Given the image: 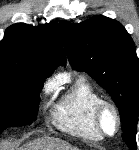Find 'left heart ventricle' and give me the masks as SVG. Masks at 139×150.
Instances as JSON below:
<instances>
[{
	"label": "left heart ventricle",
	"instance_id": "left-heart-ventricle-1",
	"mask_svg": "<svg viewBox=\"0 0 139 150\" xmlns=\"http://www.w3.org/2000/svg\"><path fill=\"white\" fill-rule=\"evenodd\" d=\"M102 127L107 134H113L116 130V119L110 109L103 112L101 119Z\"/></svg>",
	"mask_w": 139,
	"mask_h": 150
}]
</instances>
